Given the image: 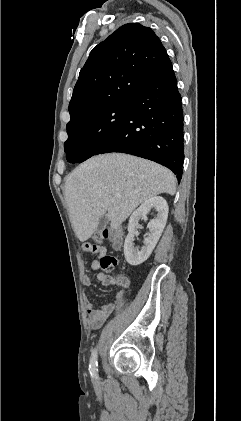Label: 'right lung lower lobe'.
Wrapping results in <instances>:
<instances>
[{"label":"right lung lower lobe","mask_w":241,"mask_h":421,"mask_svg":"<svg viewBox=\"0 0 241 421\" xmlns=\"http://www.w3.org/2000/svg\"><path fill=\"white\" fill-rule=\"evenodd\" d=\"M182 98L170 59L128 100L125 121L96 152H122L155 161L179 180L183 165Z\"/></svg>","instance_id":"98d812e1"}]
</instances>
